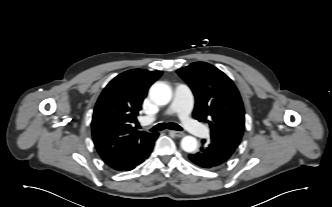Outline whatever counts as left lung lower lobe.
<instances>
[{
    "label": "left lung lower lobe",
    "mask_w": 332,
    "mask_h": 207,
    "mask_svg": "<svg viewBox=\"0 0 332 207\" xmlns=\"http://www.w3.org/2000/svg\"><path fill=\"white\" fill-rule=\"evenodd\" d=\"M202 144L197 153L190 154L188 157L191 162L204 169H215L222 166L236 149L213 139L202 140Z\"/></svg>",
    "instance_id": "1"
}]
</instances>
